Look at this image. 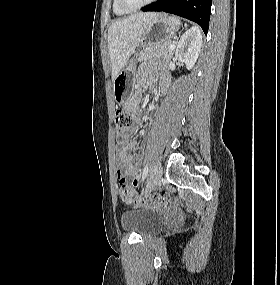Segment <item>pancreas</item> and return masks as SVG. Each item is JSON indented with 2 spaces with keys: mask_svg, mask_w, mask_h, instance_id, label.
Masks as SVG:
<instances>
[{
  "mask_svg": "<svg viewBox=\"0 0 280 285\" xmlns=\"http://www.w3.org/2000/svg\"><path fill=\"white\" fill-rule=\"evenodd\" d=\"M171 44H174V42L170 39L146 47L141 53L139 60L144 61L153 57L170 60L173 55V50L169 48Z\"/></svg>",
  "mask_w": 280,
  "mask_h": 285,
  "instance_id": "pancreas-1",
  "label": "pancreas"
}]
</instances>
